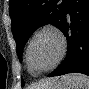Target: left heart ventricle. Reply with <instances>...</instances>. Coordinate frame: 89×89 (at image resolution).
I'll return each instance as SVG.
<instances>
[{
    "instance_id": "b2bd125f",
    "label": "left heart ventricle",
    "mask_w": 89,
    "mask_h": 89,
    "mask_svg": "<svg viewBox=\"0 0 89 89\" xmlns=\"http://www.w3.org/2000/svg\"><path fill=\"white\" fill-rule=\"evenodd\" d=\"M60 52L59 39L51 32H43L36 37L30 49V63L34 70H42L52 65Z\"/></svg>"
}]
</instances>
